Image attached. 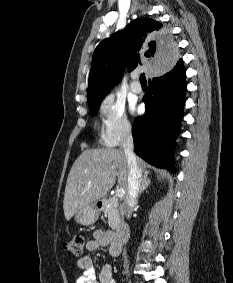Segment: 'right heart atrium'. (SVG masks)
I'll return each instance as SVG.
<instances>
[{
	"instance_id": "obj_1",
	"label": "right heart atrium",
	"mask_w": 233,
	"mask_h": 283,
	"mask_svg": "<svg viewBox=\"0 0 233 283\" xmlns=\"http://www.w3.org/2000/svg\"><path fill=\"white\" fill-rule=\"evenodd\" d=\"M99 114L102 119L100 137L106 146H117L131 135L132 124L121 101L113 96L105 97L100 103Z\"/></svg>"
}]
</instances>
